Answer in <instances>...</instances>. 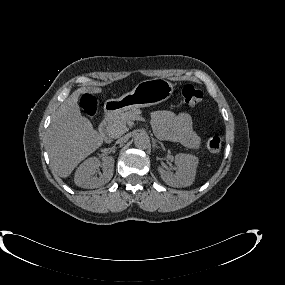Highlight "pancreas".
<instances>
[{"instance_id":"pancreas-1","label":"pancreas","mask_w":285,"mask_h":285,"mask_svg":"<svg viewBox=\"0 0 285 285\" xmlns=\"http://www.w3.org/2000/svg\"><path fill=\"white\" fill-rule=\"evenodd\" d=\"M141 113L140 109H133L115 116L108 128L110 136L117 138L123 135L128 130L126 123L138 118Z\"/></svg>"}]
</instances>
